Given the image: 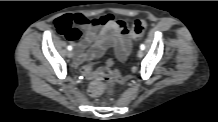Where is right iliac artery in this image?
<instances>
[{
  "instance_id": "1",
  "label": "right iliac artery",
  "mask_w": 218,
  "mask_h": 122,
  "mask_svg": "<svg viewBox=\"0 0 218 122\" xmlns=\"http://www.w3.org/2000/svg\"><path fill=\"white\" fill-rule=\"evenodd\" d=\"M67 49H68L69 51H71V50H72V46H71V45H68Z\"/></svg>"
}]
</instances>
